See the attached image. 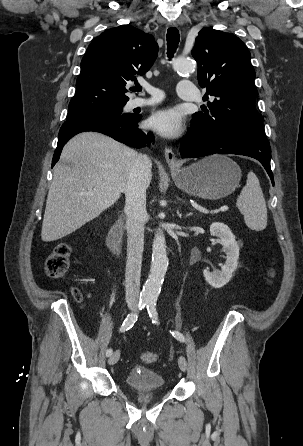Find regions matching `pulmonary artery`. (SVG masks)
Here are the masks:
<instances>
[{
    "label": "pulmonary artery",
    "mask_w": 303,
    "mask_h": 446,
    "mask_svg": "<svg viewBox=\"0 0 303 446\" xmlns=\"http://www.w3.org/2000/svg\"><path fill=\"white\" fill-rule=\"evenodd\" d=\"M145 89L152 94V97L136 98L131 102L132 107L152 105L160 101L162 93L158 89L152 86H146ZM178 95L181 99L195 101L198 98V89L191 81L182 80L178 84Z\"/></svg>",
    "instance_id": "1"
}]
</instances>
